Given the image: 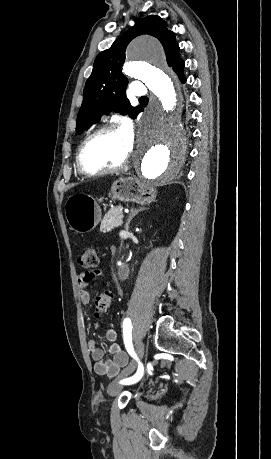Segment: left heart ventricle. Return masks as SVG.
<instances>
[{
	"instance_id": "obj_1",
	"label": "left heart ventricle",
	"mask_w": 271,
	"mask_h": 459,
	"mask_svg": "<svg viewBox=\"0 0 271 459\" xmlns=\"http://www.w3.org/2000/svg\"><path fill=\"white\" fill-rule=\"evenodd\" d=\"M131 149L122 131L105 132L95 136L86 144L83 159L88 167H98L120 161Z\"/></svg>"
}]
</instances>
